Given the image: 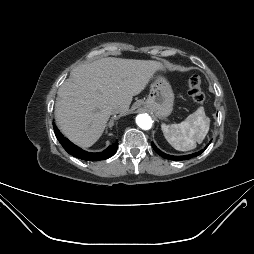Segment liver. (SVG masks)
<instances>
[{
	"instance_id": "6515ba94",
	"label": "liver",
	"mask_w": 254,
	"mask_h": 254,
	"mask_svg": "<svg viewBox=\"0 0 254 254\" xmlns=\"http://www.w3.org/2000/svg\"><path fill=\"white\" fill-rule=\"evenodd\" d=\"M161 64L107 57L76 67L58 90L55 119L62 133L82 148L102 135L114 107L126 114Z\"/></svg>"
}]
</instances>
